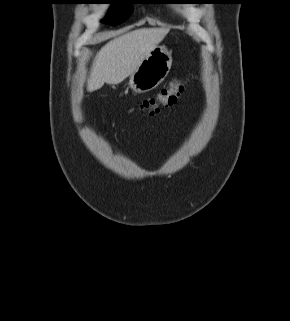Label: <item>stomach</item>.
I'll return each instance as SVG.
<instances>
[{"mask_svg": "<svg viewBox=\"0 0 290 321\" xmlns=\"http://www.w3.org/2000/svg\"><path fill=\"white\" fill-rule=\"evenodd\" d=\"M172 57L164 46H156L129 77V86L136 93L155 89L168 75Z\"/></svg>", "mask_w": 290, "mask_h": 321, "instance_id": "stomach-1", "label": "stomach"}]
</instances>
